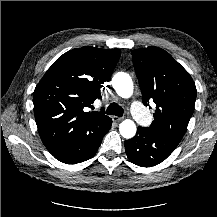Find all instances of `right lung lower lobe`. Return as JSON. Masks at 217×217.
Masks as SVG:
<instances>
[{
    "label": "right lung lower lobe",
    "instance_id": "obj_1",
    "mask_svg": "<svg viewBox=\"0 0 217 217\" xmlns=\"http://www.w3.org/2000/svg\"><path fill=\"white\" fill-rule=\"evenodd\" d=\"M112 119L96 126L75 146L50 152L57 160L66 164H76L93 157L104 137L109 131Z\"/></svg>",
    "mask_w": 217,
    "mask_h": 217
}]
</instances>
